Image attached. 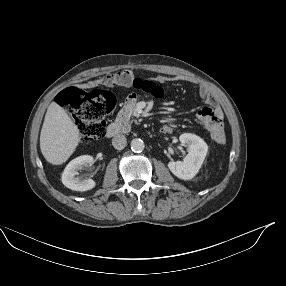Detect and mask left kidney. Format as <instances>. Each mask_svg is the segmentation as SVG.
Segmentation results:
<instances>
[{"label":"left kidney","instance_id":"left-kidney-1","mask_svg":"<svg viewBox=\"0 0 286 286\" xmlns=\"http://www.w3.org/2000/svg\"><path fill=\"white\" fill-rule=\"evenodd\" d=\"M179 140L187 145L188 154L183 161H170L168 167L176 177L190 180L201 168L208 152V145L199 136L191 133L180 135Z\"/></svg>","mask_w":286,"mask_h":286}]
</instances>
